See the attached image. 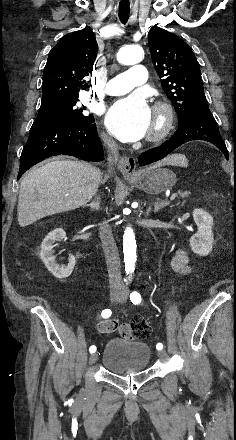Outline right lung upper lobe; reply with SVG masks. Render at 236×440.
Returning a JSON list of instances; mask_svg holds the SVG:
<instances>
[{
  "mask_svg": "<svg viewBox=\"0 0 236 440\" xmlns=\"http://www.w3.org/2000/svg\"><path fill=\"white\" fill-rule=\"evenodd\" d=\"M97 47L90 27L60 39L44 68L41 106L78 98L79 91L88 86L84 78L92 74Z\"/></svg>",
  "mask_w": 236,
  "mask_h": 440,
  "instance_id": "obj_1",
  "label": "right lung upper lobe"
}]
</instances>
